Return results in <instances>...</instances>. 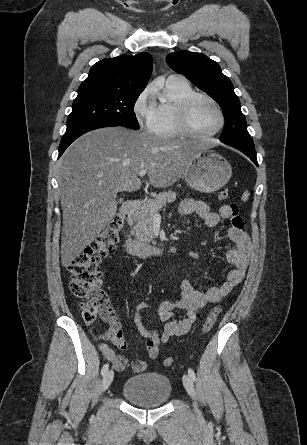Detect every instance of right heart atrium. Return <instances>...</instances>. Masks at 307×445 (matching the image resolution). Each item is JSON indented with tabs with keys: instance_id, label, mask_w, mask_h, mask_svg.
Here are the masks:
<instances>
[{
	"instance_id": "right-heart-atrium-1",
	"label": "right heart atrium",
	"mask_w": 307,
	"mask_h": 445,
	"mask_svg": "<svg viewBox=\"0 0 307 445\" xmlns=\"http://www.w3.org/2000/svg\"><path fill=\"white\" fill-rule=\"evenodd\" d=\"M155 93L151 87L145 88L133 105V115L138 125L145 130H153L156 124V112L153 107Z\"/></svg>"
}]
</instances>
